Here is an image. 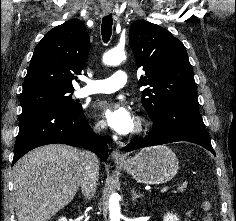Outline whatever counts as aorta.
<instances>
[{"label":"aorta","mask_w":236,"mask_h":221,"mask_svg":"<svg viewBox=\"0 0 236 221\" xmlns=\"http://www.w3.org/2000/svg\"><path fill=\"white\" fill-rule=\"evenodd\" d=\"M125 59V52L120 49H112L103 55V63L109 66L120 64ZM110 221H120L121 211L119 199L116 194H111L109 198Z\"/></svg>","instance_id":"1"}]
</instances>
